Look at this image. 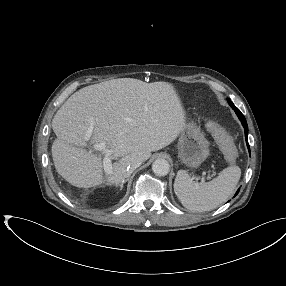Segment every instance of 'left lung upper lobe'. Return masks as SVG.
<instances>
[{
  "instance_id": "5c2ea615",
  "label": "left lung upper lobe",
  "mask_w": 286,
  "mask_h": 286,
  "mask_svg": "<svg viewBox=\"0 0 286 286\" xmlns=\"http://www.w3.org/2000/svg\"><path fill=\"white\" fill-rule=\"evenodd\" d=\"M228 103L231 107L235 106L230 99H228Z\"/></svg>"
}]
</instances>
